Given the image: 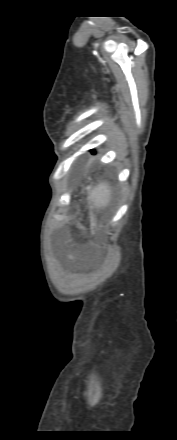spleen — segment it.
Returning a JSON list of instances; mask_svg holds the SVG:
<instances>
[{
  "label": "spleen",
  "mask_w": 177,
  "mask_h": 440,
  "mask_svg": "<svg viewBox=\"0 0 177 440\" xmlns=\"http://www.w3.org/2000/svg\"><path fill=\"white\" fill-rule=\"evenodd\" d=\"M90 198L96 207L106 206L111 198V190L107 183H100L90 194Z\"/></svg>",
  "instance_id": "spleen-1"
}]
</instances>
